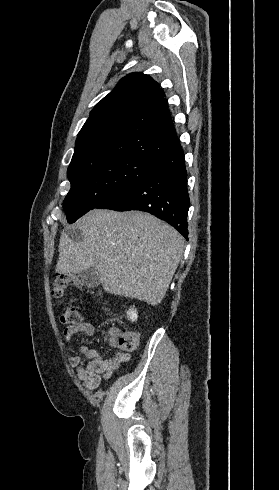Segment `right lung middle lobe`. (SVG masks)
I'll return each instance as SVG.
<instances>
[{"instance_id": "1", "label": "right lung middle lobe", "mask_w": 279, "mask_h": 490, "mask_svg": "<svg viewBox=\"0 0 279 490\" xmlns=\"http://www.w3.org/2000/svg\"><path fill=\"white\" fill-rule=\"evenodd\" d=\"M154 163L135 159L97 160L68 172L71 189L63 208L68 223L75 222L113 192L142 178Z\"/></svg>"}]
</instances>
